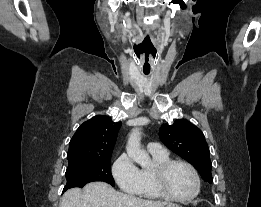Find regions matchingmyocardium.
Segmentation results:
<instances>
[{
	"label": "myocardium",
	"instance_id": "obj_1",
	"mask_svg": "<svg viewBox=\"0 0 261 207\" xmlns=\"http://www.w3.org/2000/svg\"><path fill=\"white\" fill-rule=\"evenodd\" d=\"M178 164L183 165L186 168H188L195 181V190L188 197H182V198L176 197L169 192V190L166 186V176H167L168 171L170 170L171 167H173L174 165H178ZM153 179H154V184H155V187H156L158 193L163 198L173 201V202L187 203V202L194 200L200 193L201 180H200L199 174H198L197 170L195 169V167L191 163H189L185 160L169 159V160L157 165L153 170Z\"/></svg>",
	"mask_w": 261,
	"mask_h": 207
}]
</instances>
